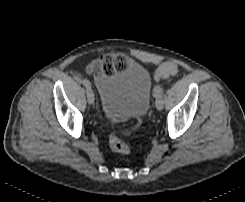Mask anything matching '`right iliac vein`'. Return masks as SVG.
<instances>
[{"label":"right iliac vein","instance_id":"obj_1","mask_svg":"<svg viewBox=\"0 0 245 202\" xmlns=\"http://www.w3.org/2000/svg\"><path fill=\"white\" fill-rule=\"evenodd\" d=\"M87 100L89 104H93L95 101L94 92L91 88H87Z\"/></svg>","mask_w":245,"mask_h":202}]
</instances>
